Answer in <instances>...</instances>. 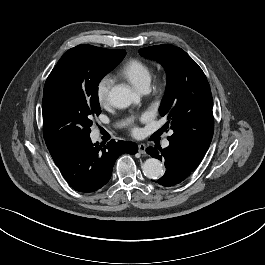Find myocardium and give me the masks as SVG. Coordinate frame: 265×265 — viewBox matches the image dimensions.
Here are the masks:
<instances>
[{
	"instance_id": "1",
	"label": "myocardium",
	"mask_w": 265,
	"mask_h": 265,
	"mask_svg": "<svg viewBox=\"0 0 265 265\" xmlns=\"http://www.w3.org/2000/svg\"><path fill=\"white\" fill-rule=\"evenodd\" d=\"M166 85H167V81H166V78L164 77H161L157 80V82L155 83L153 89H152V92L159 96L161 95L165 89H166Z\"/></svg>"
}]
</instances>
